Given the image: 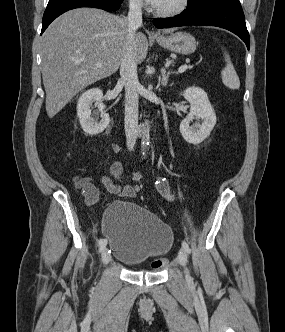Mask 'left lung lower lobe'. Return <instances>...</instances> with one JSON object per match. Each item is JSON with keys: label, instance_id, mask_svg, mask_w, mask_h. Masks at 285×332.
Masks as SVG:
<instances>
[{"label": "left lung lower lobe", "instance_id": "1", "mask_svg": "<svg viewBox=\"0 0 285 332\" xmlns=\"http://www.w3.org/2000/svg\"><path fill=\"white\" fill-rule=\"evenodd\" d=\"M157 28L189 25H211L227 29L239 36L250 48V37L239 0H209L188 8L182 14L167 19H156Z\"/></svg>", "mask_w": 285, "mask_h": 332}]
</instances>
